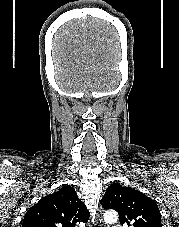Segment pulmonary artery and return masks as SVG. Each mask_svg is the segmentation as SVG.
<instances>
[{
	"label": "pulmonary artery",
	"instance_id": "1",
	"mask_svg": "<svg viewBox=\"0 0 179 227\" xmlns=\"http://www.w3.org/2000/svg\"><path fill=\"white\" fill-rule=\"evenodd\" d=\"M112 227H121L119 224H115Z\"/></svg>",
	"mask_w": 179,
	"mask_h": 227
}]
</instances>
